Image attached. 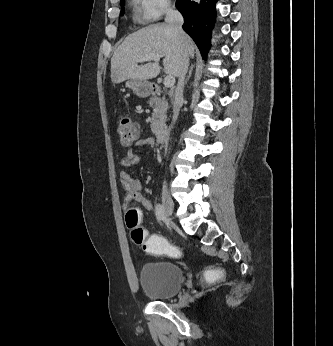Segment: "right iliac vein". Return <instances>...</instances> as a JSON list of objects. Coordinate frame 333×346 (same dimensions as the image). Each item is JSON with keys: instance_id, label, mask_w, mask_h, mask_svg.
Listing matches in <instances>:
<instances>
[{"instance_id": "right-iliac-vein-1", "label": "right iliac vein", "mask_w": 333, "mask_h": 346, "mask_svg": "<svg viewBox=\"0 0 333 346\" xmlns=\"http://www.w3.org/2000/svg\"><path fill=\"white\" fill-rule=\"evenodd\" d=\"M161 198L164 215L170 219L173 214L174 204L166 187H163Z\"/></svg>"}]
</instances>
